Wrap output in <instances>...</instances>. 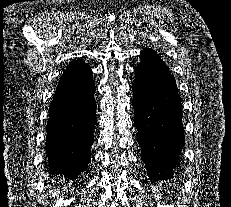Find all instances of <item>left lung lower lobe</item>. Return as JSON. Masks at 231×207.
I'll return each instance as SVG.
<instances>
[{"instance_id": "obj_1", "label": "left lung lower lobe", "mask_w": 231, "mask_h": 207, "mask_svg": "<svg viewBox=\"0 0 231 207\" xmlns=\"http://www.w3.org/2000/svg\"><path fill=\"white\" fill-rule=\"evenodd\" d=\"M132 85L137 140L150 180L173 176L184 146L181 98L167 65L152 49L141 52Z\"/></svg>"}]
</instances>
